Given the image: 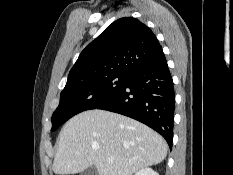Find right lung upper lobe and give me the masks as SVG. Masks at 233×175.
<instances>
[{
	"label": "right lung upper lobe",
	"mask_w": 233,
	"mask_h": 175,
	"mask_svg": "<svg viewBox=\"0 0 233 175\" xmlns=\"http://www.w3.org/2000/svg\"><path fill=\"white\" fill-rule=\"evenodd\" d=\"M163 55L155 34L132 17L110 24L79 55L67 83L105 73L131 74Z\"/></svg>",
	"instance_id": "right-lung-upper-lobe-1"
}]
</instances>
